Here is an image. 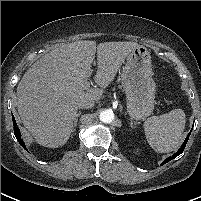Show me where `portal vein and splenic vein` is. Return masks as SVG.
<instances>
[{
    "instance_id": "portal-vein-and-splenic-vein-1",
    "label": "portal vein and splenic vein",
    "mask_w": 201,
    "mask_h": 201,
    "mask_svg": "<svg viewBox=\"0 0 201 201\" xmlns=\"http://www.w3.org/2000/svg\"><path fill=\"white\" fill-rule=\"evenodd\" d=\"M90 82H85V84H84V86L86 87V88H89L90 87Z\"/></svg>"
}]
</instances>
